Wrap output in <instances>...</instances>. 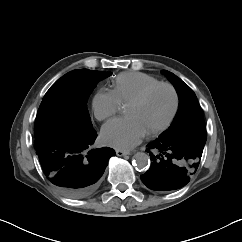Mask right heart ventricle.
Returning <instances> with one entry per match:
<instances>
[{
  "label": "right heart ventricle",
  "instance_id": "obj_1",
  "mask_svg": "<svg viewBox=\"0 0 242 242\" xmlns=\"http://www.w3.org/2000/svg\"><path fill=\"white\" fill-rule=\"evenodd\" d=\"M160 82L156 77L143 72H124L113 80V91L121 102H129L147 87Z\"/></svg>",
  "mask_w": 242,
  "mask_h": 242
}]
</instances>
